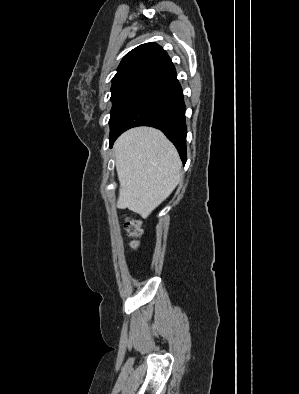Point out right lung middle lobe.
<instances>
[{
	"label": "right lung middle lobe",
	"mask_w": 299,
	"mask_h": 394,
	"mask_svg": "<svg viewBox=\"0 0 299 394\" xmlns=\"http://www.w3.org/2000/svg\"><path fill=\"white\" fill-rule=\"evenodd\" d=\"M147 89V87L137 85L121 86L111 89V101L113 103V106L111 109V116L109 120L110 133L113 132L125 111Z\"/></svg>",
	"instance_id": "right-lung-middle-lobe-1"
}]
</instances>
